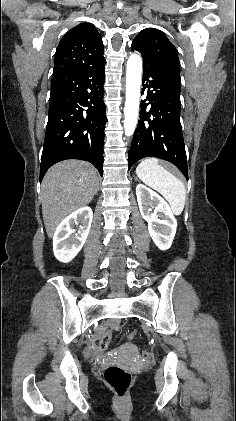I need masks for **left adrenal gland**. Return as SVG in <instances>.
<instances>
[{"mask_svg": "<svg viewBox=\"0 0 236 421\" xmlns=\"http://www.w3.org/2000/svg\"><path fill=\"white\" fill-rule=\"evenodd\" d=\"M135 180H138L137 176H136Z\"/></svg>", "mask_w": 236, "mask_h": 421, "instance_id": "a2214340", "label": "left adrenal gland"}]
</instances>
